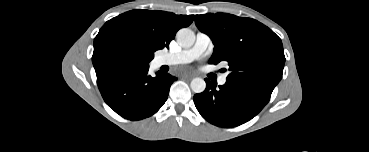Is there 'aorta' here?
<instances>
[{
	"label": "aorta",
	"mask_w": 369,
	"mask_h": 152,
	"mask_svg": "<svg viewBox=\"0 0 369 152\" xmlns=\"http://www.w3.org/2000/svg\"><path fill=\"white\" fill-rule=\"evenodd\" d=\"M176 38L179 45L183 48H190L195 42V34L189 28L180 29L177 32ZM190 87L193 92L202 93L206 88V83L202 78L197 77L191 81Z\"/></svg>",
	"instance_id": "obj_1"
}]
</instances>
